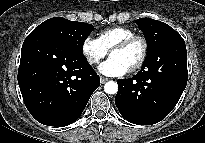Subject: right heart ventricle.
I'll use <instances>...</instances> for the list:
<instances>
[{"instance_id": "e07e8e85", "label": "right heart ventricle", "mask_w": 205, "mask_h": 143, "mask_svg": "<svg viewBox=\"0 0 205 143\" xmlns=\"http://www.w3.org/2000/svg\"><path fill=\"white\" fill-rule=\"evenodd\" d=\"M134 34L131 28L116 26L101 31L98 40L109 51L115 44Z\"/></svg>"}]
</instances>
